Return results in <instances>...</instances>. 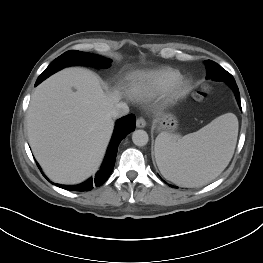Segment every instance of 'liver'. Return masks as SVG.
<instances>
[{
  "instance_id": "1",
  "label": "liver",
  "mask_w": 263,
  "mask_h": 263,
  "mask_svg": "<svg viewBox=\"0 0 263 263\" xmlns=\"http://www.w3.org/2000/svg\"><path fill=\"white\" fill-rule=\"evenodd\" d=\"M119 100L118 91L105 93L97 75L83 68L61 70L36 88L26 116L28 140L52 181L76 184L97 171Z\"/></svg>"
}]
</instances>
